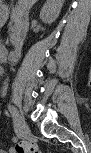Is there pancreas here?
Listing matches in <instances>:
<instances>
[{
  "label": "pancreas",
  "instance_id": "obj_1",
  "mask_svg": "<svg viewBox=\"0 0 91 153\" xmlns=\"http://www.w3.org/2000/svg\"><path fill=\"white\" fill-rule=\"evenodd\" d=\"M13 23L14 25H12ZM9 29L11 31L10 42L12 45H16L20 37L25 34V24L19 16L12 15Z\"/></svg>",
  "mask_w": 91,
  "mask_h": 153
}]
</instances>
